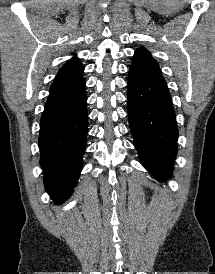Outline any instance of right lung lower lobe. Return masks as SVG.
I'll return each mask as SVG.
<instances>
[{"instance_id":"98d812e1","label":"right lung lower lobe","mask_w":215,"mask_h":274,"mask_svg":"<svg viewBox=\"0 0 215 274\" xmlns=\"http://www.w3.org/2000/svg\"><path fill=\"white\" fill-rule=\"evenodd\" d=\"M85 84L70 97L45 106L40 120V164L46 191L57 203L72 193L86 148Z\"/></svg>"}]
</instances>
